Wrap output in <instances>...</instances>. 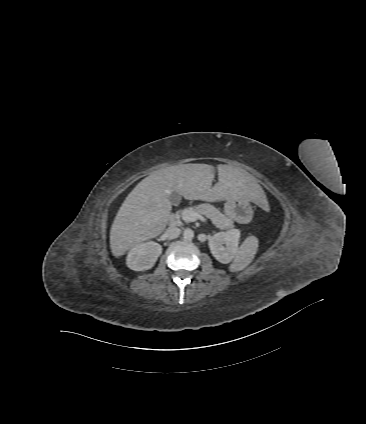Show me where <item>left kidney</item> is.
<instances>
[{
  "mask_svg": "<svg viewBox=\"0 0 366 424\" xmlns=\"http://www.w3.org/2000/svg\"><path fill=\"white\" fill-rule=\"evenodd\" d=\"M239 239L238 230L216 233L209 239L210 251L220 263H230L238 251Z\"/></svg>",
  "mask_w": 366,
  "mask_h": 424,
  "instance_id": "5707ae66",
  "label": "left kidney"
}]
</instances>
